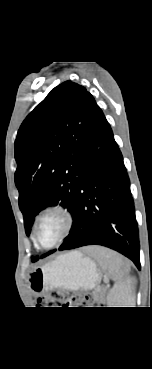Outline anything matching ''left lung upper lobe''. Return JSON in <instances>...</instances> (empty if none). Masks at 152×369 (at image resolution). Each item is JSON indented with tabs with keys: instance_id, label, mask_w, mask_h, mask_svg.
I'll use <instances>...</instances> for the list:
<instances>
[{
	"instance_id": "left-lung-upper-lobe-1",
	"label": "left lung upper lobe",
	"mask_w": 152,
	"mask_h": 369,
	"mask_svg": "<svg viewBox=\"0 0 152 369\" xmlns=\"http://www.w3.org/2000/svg\"><path fill=\"white\" fill-rule=\"evenodd\" d=\"M100 110L83 86L68 80L23 121L15 140V183L27 235L34 217L47 206L66 207L74 220L81 160Z\"/></svg>"
}]
</instances>
